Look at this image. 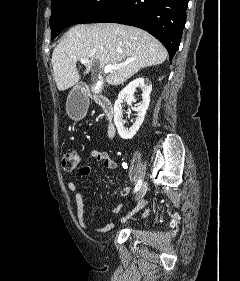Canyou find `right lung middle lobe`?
<instances>
[{
    "label": "right lung middle lobe",
    "mask_w": 240,
    "mask_h": 281,
    "mask_svg": "<svg viewBox=\"0 0 240 281\" xmlns=\"http://www.w3.org/2000/svg\"><path fill=\"white\" fill-rule=\"evenodd\" d=\"M118 0H52L51 39L72 24L92 23Z\"/></svg>",
    "instance_id": "dd1d6c3e"
}]
</instances>
